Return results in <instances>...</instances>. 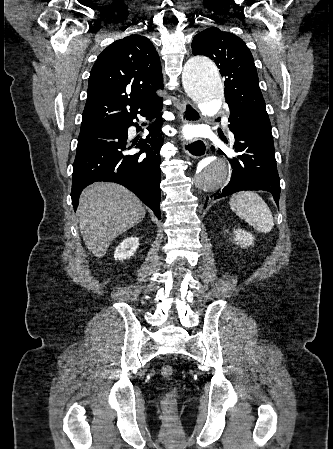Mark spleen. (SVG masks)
<instances>
[{
	"instance_id": "1",
	"label": "spleen",
	"mask_w": 333,
	"mask_h": 449,
	"mask_svg": "<svg viewBox=\"0 0 333 449\" xmlns=\"http://www.w3.org/2000/svg\"><path fill=\"white\" fill-rule=\"evenodd\" d=\"M230 208L260 232H269L274 226L273 215L266 202L252 191H241L230 199Z\"/></svg>"
}]
</instances>
